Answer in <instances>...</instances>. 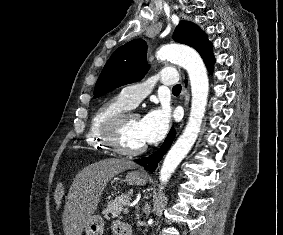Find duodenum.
<instances>
[{
    "mask_svg": "<svg viewBox=\"0 0 283 235\" xmlns=\"http://www.w3.org/2000/svg\"><path fill=\"white\" fill-rule=\"evenodd\" d=\"M116 232L118 233V235H132L131 228L123 224H117Z\"/></svg>",
    "mask_w": 283,
    "mask_h": 235,
    "instance_id": "1",
    "label": "duodenum"
}]
</instances>
